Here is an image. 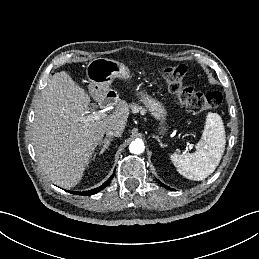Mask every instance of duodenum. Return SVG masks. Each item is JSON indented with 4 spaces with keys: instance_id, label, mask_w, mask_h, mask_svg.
Wrapping results in <instances>:
<instances>
[{
    "instance_id": "duodenum-1",
    "label": "duodenum",
    "mask_w": 259,
    "mask_h": 259,
    "mask_svg": "<svg viewBox=\"0 0 259 259\" xmlns=\"http://www.w3.org/2000/svg\"><path fill=\"white\" fill-rule=\"evenodd\" d=\"M101 102H102V104H110L114 101L109 100L108 96H106L105 98L102 99Z\"/></svg>"
}]
</instances>
